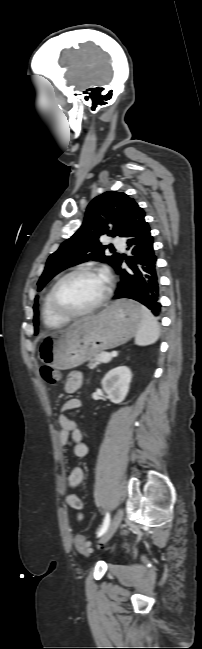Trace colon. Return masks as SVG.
I'll return each mask as SVG.
<instances>
[{"mask_svg": "<svg viewBox=\"0 0 202 649\" xmlns=\"http://www.w3.org/2000/svg\"><path fill=\"white\" fill-rule=\"evenodd\" d=\"M40 374L48 384H56L60 380L59 372L50 366H42ZM75 546L78 552L86 556L90 555L93 551L91 544L81 535L75 537Z\"/></svg>", "mask_w": 202, "mask_h": 649, "instance_id": "1", "label": "colon"}]
</instances>
